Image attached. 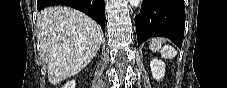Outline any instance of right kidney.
Returning <instances> with one entry per match:
<instances>
[{"instance_id":"ca27d5eb","label":"right kidney","mask_w":227,"mask_h":88,"mask_svg":"<svg viewBox=\"0 0 227 88\" xmlns=\"http://www.w3.org/2000/svg\"><path fill=\"white\" fill-rule=\"evenodd\" d=\"M75 81L72 80V81H68L62 88H75Z\"/></svg>"}]
</instances>
